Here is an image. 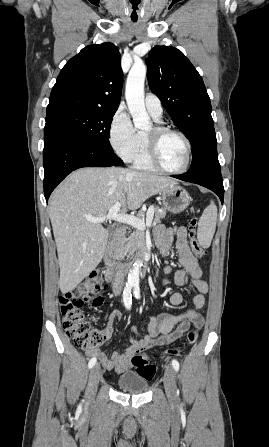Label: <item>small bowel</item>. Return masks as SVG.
<instances>
[{
	"label": "small bowel",
	"instance_id": "c3829d8e",
	"mask_svg": "<svg viewBox=\"0 0 269 447\" xmlns=\"http://www.w3.org/2000/svg\"><path fill=\"white\" fill-rule=\"evenodd\" d=\"M154 240L162 253L168 251L172 240H174L175 253L179 258L181 269L174 272L173 282L182 287L192 286L198 291L193 297V308L177 315L163 313L158 317H149L148 334L146 335H139L137 327H131V345L122 354L114 352L108 357L104 353H98L97 350L89 351L91 356H98L107 369L124 372L129 369L130 358L135 352L143 348L163 346L174 342L189 328L190 323L197 327L203 325L204 321L200 311L205 305L208 285L202 280V268L188 246L186 229L182 226L167 229L163 225H159L154 231ZM170 271V267L164 268L165 273ZM183 300L184 297L180 292H174L169 297V302L173 306L181 305ZM120 317L121 314L118 310L114 309L110 312L107 323L100 329L103 341L112 337L114 324ZM175 326H177L176 329H174Z\"/></svg>",
	"mask_w": 269,
	"mask_h": 447
}]
</instances>
